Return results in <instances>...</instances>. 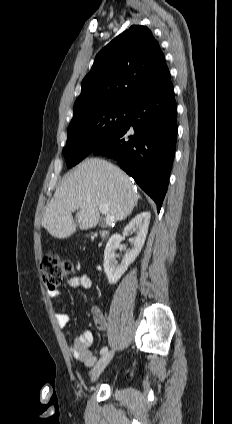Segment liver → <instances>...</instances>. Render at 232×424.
Here are the masks:
<instances>
[{"mask_svg": "<svg viewBox=\"0 0 232 424\" xmlns=\"http://www.w3.org/2000/svg\"><path fill=\"white\" fill-rule=\"evenodd\" d=\"M138 198L131 178L119 167L100 158L86 159L65 176L47 205L41 225L55 238H68L77 227L73 211L78 210L79 228L87 230L99 222V204H106L108 214L121 221Z\"/></svg>", "mask_w": 232, "mask_h": 424, "instance_id": "6515ba94", "label": "liver"}]
</instances>
